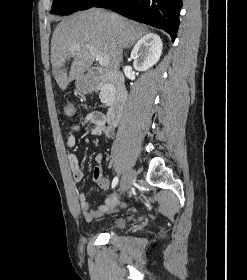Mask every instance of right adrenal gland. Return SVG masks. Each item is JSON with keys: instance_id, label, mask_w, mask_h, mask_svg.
<instances>
[{"instance_id": "1", "label": "right adrenal gland", "mask_w": 247, "mask_h": 280, "mask_svg": "<svg viewBox=\"0 0 247 280\" xmlns=\"http://www.w3.org/2000/svg\"><path fill=\"white\" fill-rule=\"evenodd\" d=\"M134 43H130L127 47L130 48Z\"/></svg>"}]
</instances>
